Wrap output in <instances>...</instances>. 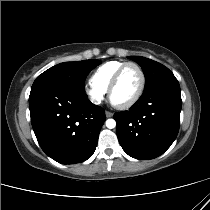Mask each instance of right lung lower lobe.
Here are the masks:
<instances>
[{
  "mask_svg": "<svg viewBox=\"0 0 210 210\" xmlns=\"http://www.w3.org/2000/svg\"><path fill=\"white\" fill-rule=\"evenodd\" d=\"M31 123L42 150L62 164L80 163L94 153L104 110L75 88L50 85L31 89Z\"/></svg>",
  "mask_w": 210,
  "mask_h": 210,
  "instance_id": "1",
  "label": "right lung lower lobe"
}]
</instances>
